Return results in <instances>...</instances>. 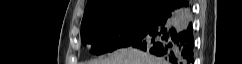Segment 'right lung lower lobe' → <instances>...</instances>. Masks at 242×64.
<instances>
[{"label":"right lung lower lobe","mask_w":242,"mask_h":64,"mask_svg":"<svg viewBox=\"0 0 242 64\" xmlns=\"http://www.w3.org/2000/svg\"><path fill=\"white\" fill-rule=\"evenodd\" d=\"M131 46L163 57L171 64H192L194 37L189 2L169 0L154 25Z\"/></svg>","instance_id":"98d812e1"}]
</instances>
